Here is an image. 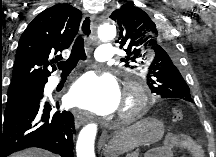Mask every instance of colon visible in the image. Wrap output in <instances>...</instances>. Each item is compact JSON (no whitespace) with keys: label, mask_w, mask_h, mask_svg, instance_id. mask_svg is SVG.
Here are the masks:
<instances>
[{"label":"colon","mask_w":216,"mask_h":157,"mask_svg":"<svg viewBox=\"0 0 216 157\" xmlns=\"http://www.w3.org/2000/svg\"><path fill=\"white\" fill-rule=\"evenodd\" d=\"M172 117L174 121H181L183 119V112L180 109H174L172 112Z\"/></svg>","instance_id":"1"}]
</instances>
